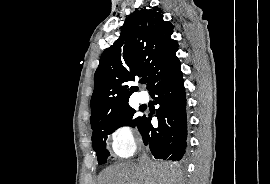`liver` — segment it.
Returning <instances> with one entry per match:
<instances>
[{"instance_id": "obj_1", "label": "liver", "mask_w": 270, "mask_h": 184, "mask_svg": "<svg viewBox=\"0 0 270 184\" xmlns=\"http://www.w3.org/2000/svg\"><path fill=\"white\" fill-rule=\"evenodd\" d=\"M98 184H182V174L170 163H122L107 168Z\"/></svg>"}]
</instances>
